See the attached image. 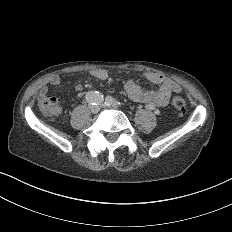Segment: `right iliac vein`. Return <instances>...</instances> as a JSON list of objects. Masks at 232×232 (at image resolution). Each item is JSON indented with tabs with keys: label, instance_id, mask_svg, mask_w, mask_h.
Returning <instances> with one entry per match:
<instances>
[{
	"label": "right iliac vein",
	"instance_id": "1",
	"mask_svg": "<svg viewBox=\"0 0 232 232\" xmlns=\"http://www.w3.org/2000/svg\"><path fill=\"white\" fill-rule=\"evenodd\" d=\"M89 110L91 113H97L100 111V106L97 105V106H92L91 104L89 105Z\"/></svg>",
	"mask_w": 232,
	"mask_h": 232
}]
</instances>
